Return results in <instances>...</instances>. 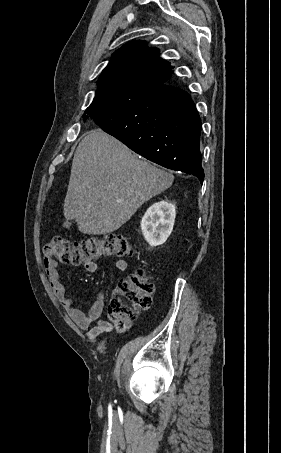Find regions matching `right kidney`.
<instances>
[{
    "instance_id": "right-kidney-1",
    "label": "right kidney",
    "mask_w": 281,
    "mask_h": 453,
    "mask_svg": "<svg viewBox=\"0 0 281 453\" xmlns=\"http://www.w3.org/2000/svg\"><path fill=\"white\" fill-rule=\"evenodd\" d=\"M175 216V204L167 200H159L147 208L141 220V229L150 247H158L167 241L174 227Z\"/></svg>"
}]
</instances>
